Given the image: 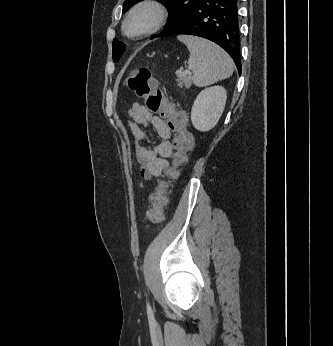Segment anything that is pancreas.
<instances>
[{
	"mask_svg": "<svg viewBox=\"0 0 333 346\" xmlns=\"http://www.w3.org/2000/svg\"><path fill=\"white\" fill-rule=\"evenodd\" d=\"M177 79L179 82V86L185 85L187 88L191 86V76L184 74L182 71H178L177 73Z\"/></svg>",
	"mask_w": 333,
	"mask_h": 346,
	"instance_id": "pancreas-1",
	"label": "pancreas"
}]
</instances>
